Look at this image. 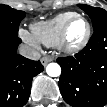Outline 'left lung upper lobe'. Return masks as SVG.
<instances>
[{"instance_id":"left-lung-upper-lobe-1","label":"left lung upper lobe","mask_w":107,"mask_h":107,"mask_svg":"<svg viewBox=\"0 0 107 107\" xmlns=\"http://www.w3.org/2000/svg\"><path fill=\"white\" fill-rule=\"evenodd\" d=\"M78 6L82 10H84L91 18L92 24H93V30H96L102 25L107 24V11L106 10L102 8H98V7H92V6L85 5V4H78Z\"/></svg>"}]
</instances>
